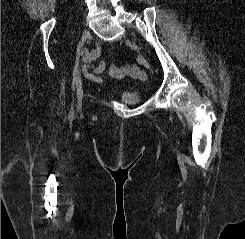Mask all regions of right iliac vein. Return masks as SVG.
Instances as JSON below:
<instances>
[{"label": "right iliac vein", "mask_w": 245, "mask_h": 239, "mask_svg": "<svg viewBox=\"0 0 245 239\" xmlns=\"http://www.w3.org/2000/svg\"><path fill=\"white\" fill-rule=\"evenodd\" d=\"M90 37V31L85 29L82 34V43L84 44L85 41ZM77 107L81 108L82 106V98H83V89H82V81L81 76L78 74L77 76Z\"/></svg>", "instance_id": "right-iliac-vein-1"}]
</instances>
